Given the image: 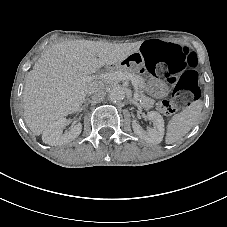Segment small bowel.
<instances>
[{
  "label": "small bowel",
  "mask_w": 227,
  "mask_h": 227,
  "mask_svg": "<svg viewBox=\"0 0 227 227\" xmlns=\"http://www.w3.org/2000/svg\"><path fill=\"white\" fill-rule=\"evenodd\" d=\"M137 57H138V62H139V64L141 65V67H142L143 69H145L144 60H143V57H142V55L140 54V52L137 54Z\"/></svg>",
  "instance_id": "c3829d8e"
}]
</instances>
